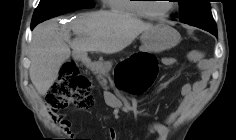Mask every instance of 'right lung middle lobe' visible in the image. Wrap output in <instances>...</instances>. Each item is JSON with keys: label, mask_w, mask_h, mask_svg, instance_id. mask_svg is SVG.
Wrapping results in <instances>:
<instances>
[{"label": "right lung middle lobe", "mask_w": 236, "mask_h": 140, "mask_svg": "<svg viewBox=\"0 0 236 140\" xmlns=\"http://www.w3.org/2000/svg\"><path fill=\"white\" fill-rule=\"evenodd\" d=\"M92 0H40L35 9L31 24H38L44 20L83 8H93Z\"/></svg>", "instance_id": "right-lung-middle-lobe-1"}]
</instances>
